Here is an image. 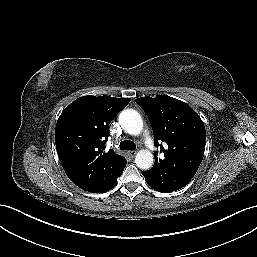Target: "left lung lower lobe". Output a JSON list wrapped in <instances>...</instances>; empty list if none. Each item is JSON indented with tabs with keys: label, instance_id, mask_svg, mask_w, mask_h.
<instances>
[{
	"label": "left lung lower lobe",
	"instance_id": "obj_1",
	"mask_svg": "<svg viewBox=\"0 0 257 257\" xmlns=\"http://www.w3.org/2000/svg\"><path fill=\"white\" fill-rule=\"evenodd\" d=\"M146 182L155 190L163 193L176 191L184 187L194 175L175 170L171 167L153 166L142 172Z\"/></svg>",
	"mask_w": 257,
	"mask_h": 257
}]
</instances>
